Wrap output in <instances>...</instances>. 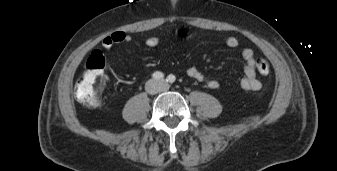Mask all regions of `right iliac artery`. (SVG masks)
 <instances>
[{"label": "right iliac artery", "mask_w": 337, "mask_h": 171, "mask_svg": "<svg viewBox=\"0 0 337 171\" xmlns=\"http://www.w3.org/2000/svg\"><path fill=\"white\" fill-rule=\"evenodd\" d=\"M152 78L155 80H163L164 74L162 72L156 71L153 73Z\"/></svg>", "instance_id": "1"}]
</instances>
